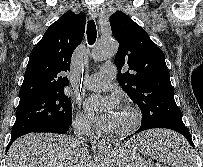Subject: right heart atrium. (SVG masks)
<instances>
[{
	"mask_svg": "<svg viewBox=\"0 0 203 167\" xmlns=\"http://www.w3.org/2000/svg\"><path fill=\"white\" fill-rule=\"evenodd\" d=\"M74 125L77 129L88 131L92 128L90 118L83 112L78 111L74 118Z\"/></svg>",
	"mask_w": 203,
	"mask_h": 167,
	"instance_id": "d8ad5b80",
	"label": "right heart atrium"
}]
</instances>
